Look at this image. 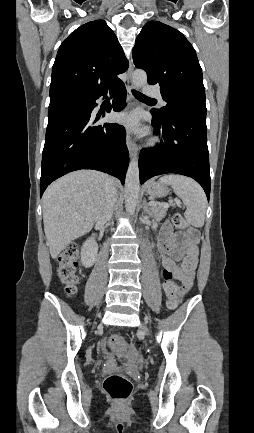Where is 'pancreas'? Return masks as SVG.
I'll return each instance as SVG.
<instances>
[{"instance_id": "1", "label": "pancreas", "mask_w": 254, "mask_h": 433, "mask_svg": "<svg viewBox=\"0 0 254 433\" xmlns=\"http://www.w3.org/2000/svg\"><path fill=\"white\" fill-rule=\"evenodd\" d=\"M167 210L168 206H164L159 203L157 205L151 206L150 216L154 217L157 221H159L166 216Z\"/></svg>"}]
</instances>
